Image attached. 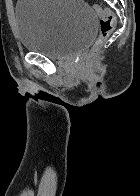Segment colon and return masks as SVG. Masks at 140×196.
Segmentation results:
<instances>
[{
    "label": "colon",
    "instance_id": "1",
    "mask_svg": "<svg viewBox=\"0 0 140 196\" xmlns=\"http://www.w3.org/2000/svg\"><path fill=\"white\" fill-rule=\"evenodd\" d=\"M93 8L99 17V35L91 49L81 61L80 68L83 72L88 71L94 65L106 39L113 31L116 24V17L113 11L99 4H94Z\"/></svg>",
    "mask_w": 140,
    "mask_h": 196
}]
</instances>
